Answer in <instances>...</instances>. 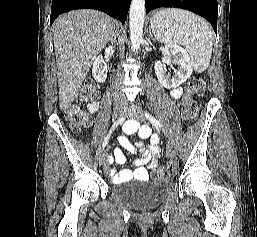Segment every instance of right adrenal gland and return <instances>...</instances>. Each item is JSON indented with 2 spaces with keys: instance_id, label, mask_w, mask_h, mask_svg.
I'll list each match as a JSON object with an SVG mask.
<instances>
[{
  "instance_id": "2a0ac1e0",
  "label": "right adrenal gland",
  "mask_w": 257,
  "mask_h": 237,
  "mask_svg": "<svg viewBox=\"0 0 257 237\" xmlns=\"http://www.w3.org/2000/svg\"><path fill=\"white\" fill-rule=\"evenodd\" d=\"M115 41H116V31L114 32L113 36L111 37L110 43H111V44H114Z\"/></svg>"
}]
</instances>
